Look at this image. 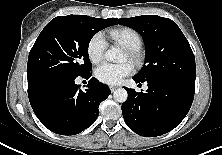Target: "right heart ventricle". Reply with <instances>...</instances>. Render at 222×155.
Wrapping results in <instances>:
<instances>
[{
  "label": "right heart ventricle",
  "mask_w": 222,
  "mask_h": 155,
  "mask_svg": "<svg viewBox=\"0 0 222 155\" xmlns=\"http://www.w3.org/2000/svg\"><path fill=\"white\" fill-rule=\"evenodd\" d=\"M112 40L126 49L140 50L143 44L141 35L133 28L119 27L109 31Z\"/></svg>",
  "instance_id": "right-heart-ventricle-1"
}]
</instances>
